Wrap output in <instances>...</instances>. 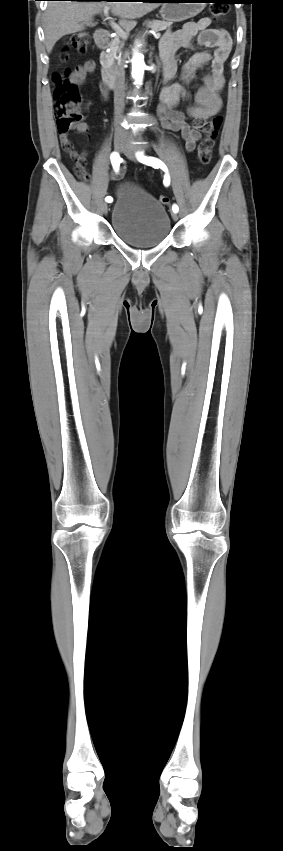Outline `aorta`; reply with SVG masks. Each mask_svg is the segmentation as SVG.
Segmentation results:
<instances>
[{
	"label": "aorta",
	"instance_id": "1",
	"mask_svg": "<svg viewBox=\"0 0 283 851\" xmlns=\"http://www.w3.org/2000/svg\"><path fill=\"white\" fill-rule=\"evenodd\" d=\"M145 70V62L143 56L138 52L134 51L132 58V77L135 80L136 85H141L143 81Z\"/></svg>",
	"mask_w": 283,
	"mask_h": 851
}]
</instances>
